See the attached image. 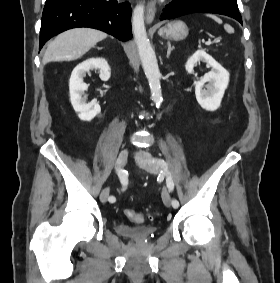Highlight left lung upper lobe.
<instances>
[{
	"label": "left lung upper lobe",
	"mask_w": 280,
	"mask_h": 283,
	"mask_svg": "<svg viewBox=\"0 0 280 283\" xmlns=\"http://www.w3.org/2000/svg\"><path fill=\"white\" fill-rule=\"evenodd\" d=\"M215 1L222 2V3L227 4V5H229L233 8L238 9L237 0H215Z\"/></svg>",
	"instance_id": "1"
}]
</instances>
